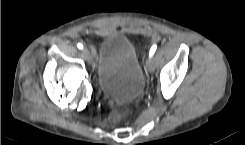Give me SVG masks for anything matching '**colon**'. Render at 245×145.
<instances>
[{"mask_svg": "<svg viewBox=\"0 0 245 145\" xmlns=\"http://www.w3.org/2000/svg\"><path fill=\"white\" fill-rule=\"evenodd\" d=\"M129 113L130 110L128 108L114 110L109 116V121L113 124L120 123L129 115Z\"/></svg>", "mask_w": 245, "mask_h": 145, "instance_id": "5ec220e1", "label": "colon"}]
</instances>
